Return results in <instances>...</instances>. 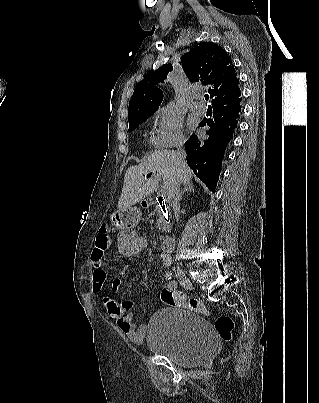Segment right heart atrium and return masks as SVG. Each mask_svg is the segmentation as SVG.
<instances>
[{
    "label": "right heart atrium",
    "instance_id": "d8ad5b80",
    "mask_svg": "<svg viewBox=\"0 0 319 403\" xmlns=\"http://www.w3.org/2000/svg\"><path fill=\"white\" fill-rule=\"evenodd\" d=\"M153 123L151 143L155 148L167 149L184 143L183 120L173 107L158 108L153 115Z\"/></svg>",
    "mask_w": 319,
    "mask_h": 403
}]
</instances>
